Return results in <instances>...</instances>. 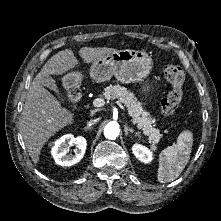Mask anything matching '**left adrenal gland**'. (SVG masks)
<instances>
[{"mask_svg": "<svg viewBox=\"0 0 221 221\" xmlns=\"http://www.w3.org/2000/svg\"><path fill=\"white\" fill-rule=\"evenodd\" d=\"M124 131H125V136L127 137L129 135V133H133V129L128 127L127 124L124 125Z\"/></svg>", "mask_w": 221, "mask_h": 221, "instance_id": "left-adrenal-gland-1", "label": "left adrenal gland"}]
</instances>
